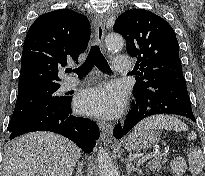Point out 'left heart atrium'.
<instances>
[{
	"label": "left heart atrium",
	"instance_id": "left-heart-atrium-1",
	"mask_svg": "<svg viewBox=\"0 0 205 176\" xmlns=\"http://www.w3.org/2000/svg\"><path fill=\"white\" fill-rule=\"evenodd\" d=\"M124 105L123 91L114 85H102L82 91L77 99V108L85 113L100 116H113Z\"/></svg>",
	"mask_w": 205,
	"mask_h": 176
}]
</instances>
